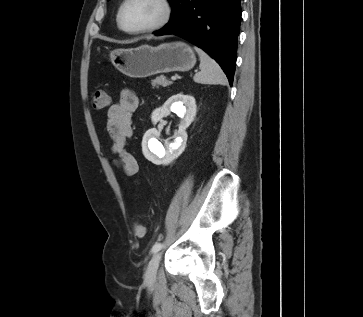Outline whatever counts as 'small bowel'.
<instances>
[{
    "mask_svg": "<svg viewBox=\"0 0 363 317\" xmlns=\"http://www.w3.org/2000/svg\"><path fill=\"white\" fill-rule=\"evenodd\" d=\"M139 106L138 96L128 89L121 91L117 102L109 106L107 112V132L112 140L111 151L116 156L115 163L128 176L137 174L139 165L136 158L127 151V140L132 136L133 113Z\"/></svg>",
    "mask_w": 363,
    "mask_h": 317,
    "instance_id": "obj_1",
    "label": "small bowel"
}]
</instances>
